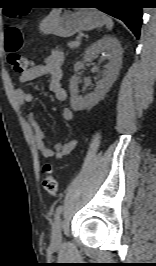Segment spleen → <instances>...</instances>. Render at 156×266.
<instances>
[{"instance_id": "spleen-1", "label": "spleen", "mask_w": 156, "mask_h": 266, "mask_svg": "<svg viewBox=\"0 0 156 266\" xmlns=\"http://www.w3.org/2000/svg\"><path fill=\"white\" fill-rule=\"evenodd\" d=\"M105 24H106V27L108 30H111L113 28V25H114L112 19L106 15H105Z\"/></svg>"}]
</instances>
